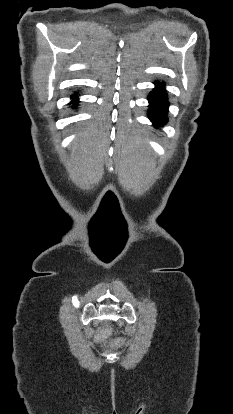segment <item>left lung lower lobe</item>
Here are the masks:
<instances>
[{
    "instance_id": "obj_1",
    "label": "left lung lower lobe",
    "mask_w": 233,
    "mask_h": 414,
    "mask_svg": "<svg viewBox=\"0 0 233 414\" xmlns=\"http://www.w3.org/2000/svg\"><path fill=\"white\" fill-rule=\"evenodd\" d=\"M155 88L149 94V119L155 126L164 125L167 122L168 99L163 82H154Z\"/></svg>"
}]
</instances>
